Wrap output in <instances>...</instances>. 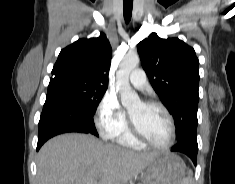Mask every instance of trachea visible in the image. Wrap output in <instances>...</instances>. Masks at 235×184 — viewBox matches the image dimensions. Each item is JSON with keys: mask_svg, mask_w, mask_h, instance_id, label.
<instances>
[{"mask_svg": "<svg viewBox=\"0 0 235 184\" xmlns=\"http://www.w3.org/2000/svg\"><path fill=\"white\" fill-rule=\"evenodd\" d=\"M133 0H124V19L129 23L132 15Z\"/></svg>", "mask_w": 235, "mask_h": 184, "instance_id": "3493384b", "label": "trachea"}]
</instances>
